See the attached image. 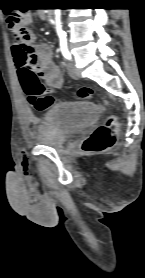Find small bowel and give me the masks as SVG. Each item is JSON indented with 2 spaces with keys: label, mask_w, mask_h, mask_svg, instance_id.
I'll return each mask as SVG.
<instances>
[{
  "label": "small bowel",
  "mask_w": 145,
  "mask_h": 278,
  "mask_svg": "<svg viewBox=\"0 0 145 278\" xmlns=\"http://www.w3.org/2000/svg\"><path fill=\"white\" fill-rule=\"evenodd\" d=\"M11 53L20 85L23 75L38 71L49 87L55 89L61 87L63 76L60 68L52 62V52L49 47L41 45L36 53L24 52L15 39L11 44ZM30 121L35 123L37 119L32 116Z\"/></svg>",
  "instance_id": "small-bowel-1"
}]
</instances>
